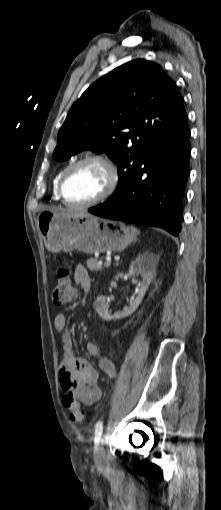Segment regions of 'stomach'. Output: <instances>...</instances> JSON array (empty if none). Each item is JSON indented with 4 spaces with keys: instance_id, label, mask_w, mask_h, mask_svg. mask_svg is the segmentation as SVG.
I'll return each mask as SVG.
<instances>
[{
    "instance_id": "1",
    "label": "stomach",
    "mask_w": 221,
    "mask_h": 510,
    "mask_svg": "<svg viewBox=\"0 0 221 510\" xmlns=\"http://www.w3.org/2000/svg\"><path fill=\"white\" fill-rule=\"evenodd\" d=\"M38 229L46 248L53 252L73 250L86 254L121 251L135 234L119 221L83 212L43 211L37 217Z\"/></svg>"
}]
</instances>
